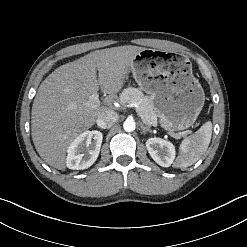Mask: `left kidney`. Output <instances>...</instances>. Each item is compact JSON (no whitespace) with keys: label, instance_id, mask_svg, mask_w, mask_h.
I'll list each match as a JSON object with an SVG mask.
<instances>
[{"label":"left kidney","instance_id":"5707ae66","mask_svg":"<svg viewBox=\"0 0 247 247\" xmlns=\"http://www.w3.org/2000/svg\"><path fill=\"white\" fill-rule=\"evenodd\" d=\"M147 150L152 159L162 167H169L176 155L175 146L161 138H149L146 141Z\"/></svg>","mask_w":247,"mask_h":247}]
</instances>
